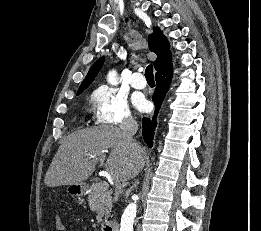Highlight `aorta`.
Wrapping results in <instances>:
<instances>
[{"label":"aorta","instance_id":"obj_1","mask_svg":"<svg viewBox=\"0 0 261 231\" xmlns=\"http://www.w3.org/2000/svg\"><path fill=\"white\" fill-rule=\"evenodd\" d=\"M108 83L111 85H116L118 82V77L116 71L109 72L107 76ZM137 204L136 201L131 202L124 210L122 218L120 231H133V222L136 217Z\"/></svg>","mask_w":261,"mask_h":231}]
</instances>
